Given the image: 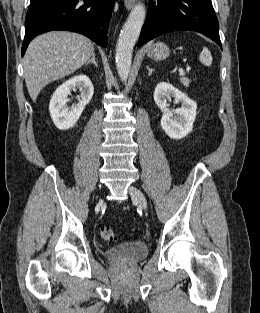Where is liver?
Wrapping results in <instances>:
<instances>
[{
    "label": "liver",
    "mask_w": 260,
    "mask_h": 313,
    "mask_svg": "<svg viewBox=\"0 0 260 313\" xmlns=\"http://www.w3.org/2000/svg\"><path fill=\"white\" fill-rule=\"evenodd\" d=\"M93 53L92 41L78 33L53 31L33 39L23 63L31 99L35 102L43 87L75 72Z\"/></svg>",
    "instance_id": "liver-1"
}]
</instances>
